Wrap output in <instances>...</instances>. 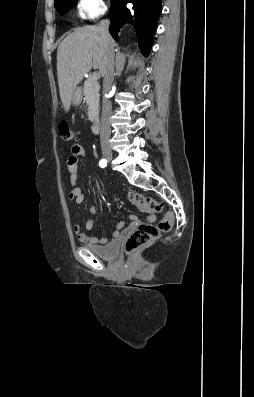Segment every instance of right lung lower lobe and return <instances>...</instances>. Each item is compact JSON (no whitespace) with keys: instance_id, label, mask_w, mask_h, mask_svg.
Segmentation results:
<instances>
[{"instance_id":"right-lung-lower-lobe-1","label":"right lung lower lobe","mask_w":254,"mask_h":397,"mask_svg":"<svg viewBox=\"0 0 254 397\" xmlns=\"http://www.w3.org/2000/svg\"><path fill=\"white\" fill-rule=\"evenodd\" d=\"M127 2L133 4L127 9ZM162 0H112L110 11V34L118 41V33L124 26L131 28L137 36L142 53L148 55L151 40L161 14Z\"/></svg>"}]
</instances>
